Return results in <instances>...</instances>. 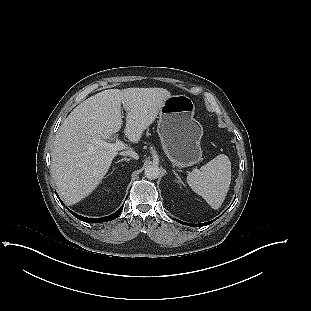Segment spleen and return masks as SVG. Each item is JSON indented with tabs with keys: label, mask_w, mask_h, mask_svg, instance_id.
Instances as JSON below:
<instances>
[{
	"label": "spleen",
	"mask_w": 311,
	"mask_h": 311,
	"mask_svg": "<svg viewBox=\"0 0 311 311\" xmlns=\"http://www.w3.org/2000/svg\"><path fill=\"white\" fill-rule=\"evenodd\" d=\"M187 183L213 209H218L225 200L231 183V162L228 156L220 154L199 170L190 172Z\"/></svg>",
	"instance_id": "spleen-1"
}]
</instances>
